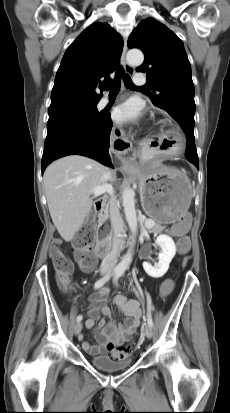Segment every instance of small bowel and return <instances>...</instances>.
Returning a JSON list of instances; mask_svg holds the SVG:
<instances>
[{"mask_svg":"<svg viewBox=\"0 0 230 413\" xmlns=\"http://www.w3.org/2000/svg\"><path fill=\"white\" fill-rule=\"evenodd\" d=\"M170 234L181 235V232L173 226L170 229ZM81 267L85 271H89L92 268V266L86 268L82 265ZM108 294L109 289L102 287L90 296V305L87 311L88 318L85 322V326L88 329L95 325L100 313L109 318L112 316V310L107 305ZM113 302L125 315L124 323L116 324L115 321L111 320L105 324L104 320H100L94 331L96 344L83 341V335H80L79 339L83 341V350L91 356L109 354L114 359L122 360L126 359L130 354L124 351V348L127 347L125 344L130 341L132 335L139 327L142 312L140 303L137 300H129L124 295L115 296Z\"/></svg>","mask_w":230,"mask_h":413,"instance_id":"c3829d8e","label":"small bowel"}]
</instances>
